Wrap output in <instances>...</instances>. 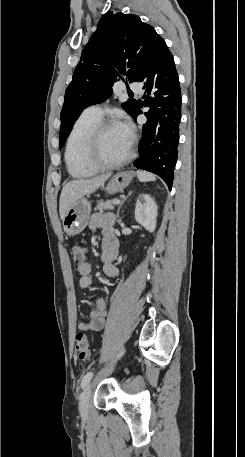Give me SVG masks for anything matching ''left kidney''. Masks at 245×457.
I'll list each match as a JSON object with an SVG mask.
<instances>
[{"label": "left kidney", "instance_id": "left-kidney-1", "mask_svg": "<svg viewBox=\"0 0 245 457\" xmlns=\"http://www.w3.org/2000/svg\"><path fill=\"white\" fill-rule=\"evenodd\" d=\"M157 210L158 206L150 194H139L135 206V220L145 226L149 233L156 229Z\"/></svg>", "mask_w": 245, "mask_h": 457}]
</instances>
